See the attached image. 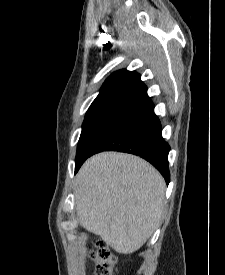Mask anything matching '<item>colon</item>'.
Instances as JSON below:
<instances>
[{
	"instance_id": "1",
	"label": "colon",
	"mask_w": 225,
	"mask_h": 275,
	"mask_svg": "<svg viewBox=\"0 0 225 275\" xmlns=\"http://www.w3.org/2000/svg\"><path fill=\"white\" fill-rule=\"evenodd\" d=\"M92 258L96 263V275H112L117 259L105 242L96 243Z\"/></svg>"
}]
</instances>
